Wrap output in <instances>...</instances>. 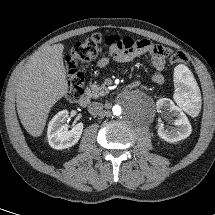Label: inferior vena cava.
I'll use <instances>...</instances> for the list:
<instances>
[{
	"label": "inferior vena cava",
	"instance_id": "obj_1",
	"mask_svg": "<svg viewBox=\"0 0 215 215\" xmlns=\"http://www.w3.org/2000/svg\"><path fill=\"white\" fill-rule=\"evenodd\" d=\"M88 111L93 116H99L103 113V104L100 102H93L88 106Z\"/></svg>",
	"mask_w": 215,
	"mask_h": 215
}]
</instances>
